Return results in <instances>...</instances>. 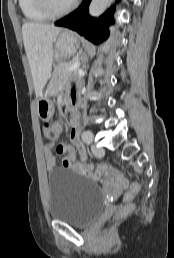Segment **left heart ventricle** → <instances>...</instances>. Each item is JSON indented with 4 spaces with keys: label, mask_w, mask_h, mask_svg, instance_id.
Masks as SVG:
<instances>
[{
    "label": "left heart ventricle",
    "mask_w": 174,
    "mask_h": 258,
    "mask_svg": "<svg viewBox=\"0 0 174 258\" xmlns=\"http://www.w3.org/2000/svg\"><path fill=\"white\" fill-rule=\"evenodd\" d=\"M51 1L54 7L57 9H62L72 2V0H51Z\"/></svg>",
    "instance_id": "1"
}]
</instances>
